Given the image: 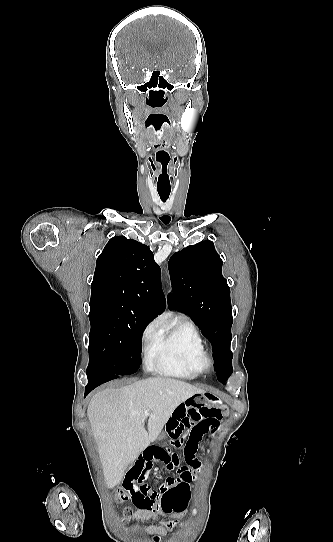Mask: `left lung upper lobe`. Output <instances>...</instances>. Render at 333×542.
<instances>
[{
  "instance_id": "obj_1",
  "label": "left lung upper lobe",
  "mask_w": 333,
  "mask_h": 542,
  "mask_svg": "<svg viewBox=\"0 0 333 542\" xmlns=\"http://www.w3.org/2000/svg\"><path fill=\"white\" fill-rule=\"evenodd\" d=\"M222 260L211 241L176 252L169 260L173 293L168 307L187 313L211 342L218 380L232 373L230 288L222 276Z\"/></svg>"
}]
</instances>
